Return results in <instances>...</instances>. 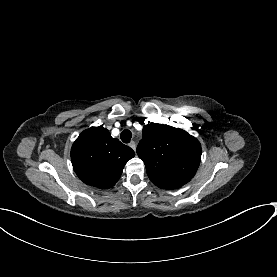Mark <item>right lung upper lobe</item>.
Returning a JSON list of instances; mask_svg holds the SVG:
<instances>
[{"mask_svg": "<svg viewBox=\"0 0 277 277\" xmlns=\"http://www.w3.org/2000/svg\"><path fill=\"white\" fill-rule=\"evenodd\" d=\"M134 151L112 138L103 127L83 131L71 149L75 173L87 185L100 189L111 188L120 178L126 162Z\"/></svg>", "mask_w": 277, "mask_h": 277, "instance_id": "cb5924a9", "label": "right lung upper lobe"}]
</instances>
